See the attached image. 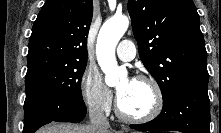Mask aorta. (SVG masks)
<instances>
[{"label":"aorta","mask_w":221,"mask_h":133,"mask_svg":"<svg viewBox=\"0 0 221 133\" xmlns=\"http://www.w3.org/2000/svg\"><path fill=\"white\" fill-rule=\"evenodd\" d=\"M128 26L126 16H114L103 24L97 37L96 56L109 86L118 84L120 77L127 74L126 69L117 64L115 48Z\"/></svg>","instance_id":"obj_1"}]
</instances>
